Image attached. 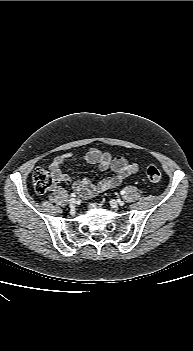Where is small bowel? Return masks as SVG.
I'll use <instances>...</instances> for the list:
<instances>
[{
    "instance_id": "1",
    "label": "small bowel",
    "mask_w": 193,
    "mask_h": 351,
    "mask_svg": "<svg viewBox=\"0 0 193 351\" xmlns=\"http://www.w3.org/2000/svg\"><path fill=\"white\" fill-rule=\"evenodd\" d=\"M72 152H66L56 156L49 169L58 183L70 185L72 189L82 197H95L99 193L118 187L125 179L134 174L138 167L134 163H130L122 156L113 157L108 152H103L98 149H90L82 160L98 166L101 171L110 169L113 175L100 180L98 183H93L89 179L73 180L67 174L63 173L62 166L68 160L74 159Z\"/></svg>"
}]
</instances>
